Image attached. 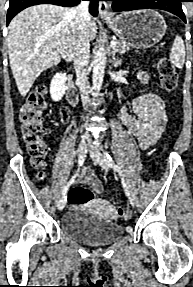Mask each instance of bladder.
<instances>
[{"label": "bladder", "mask_w": 193, "mask_h": 287, "mask_svg": "<svg viewBox=\"0 0 193 287\" xmlns=\"http://www.w3.org/2000/svg\"><path fill=\"white\" fill-rule=\"evenodd\" d=\"M61 231L78 242L90 246L107 245L123 235L122 226L92 212L70 210L61 221Z\"/></svg>", "instance_id": "bladder-1"}]
</instances>
